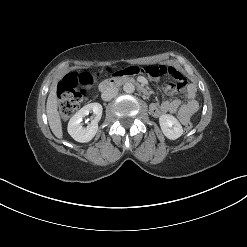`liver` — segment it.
Returning <instances> with one entry per match:
<instances>
[{"instance_id": "1", "label": "liver", "mask_w": 247, "mask_h": 247, "mask_svg": "<svg viewBox=\"0 0 247 247\" xmlns=\"http://www.w3.org/2000/svg\"><path fill=\"white\" fill-rule=\"evenodd\" d=\"M57 95H56V84H54L51 89L47 99L46 113L48 117V122L53 134L61 139L63 137L62 123L60 119L59 112L57 110Z\"/></svg>"}]
</instances>
